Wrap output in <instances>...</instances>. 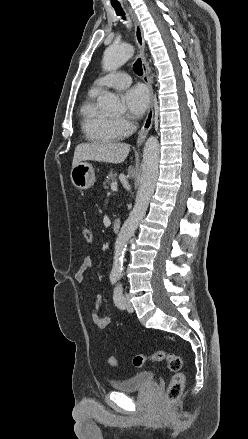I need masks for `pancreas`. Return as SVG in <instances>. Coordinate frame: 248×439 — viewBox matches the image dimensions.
Returning <instances> with one entry per match:
<instances>
[{
	"label": "pancreas",
	"mask_w": 248,
	"mask_h": 439,
	"mask_svg": "<svg viewBox=\"0 0 248 439\" xmlns=\"http://www.w3.org/2000/svg\"><path fill=\"white\" fill-rule=\"evenodd\" d=\"M116 176H117L116 172H114L113 170L110 171V173L108 174V176L106 177V179L104 181V185L106 186L107 184L110 183V181H115L116 180Z\"/></svg>",
	"instance_id": "obj_1"
}]
</instances>
